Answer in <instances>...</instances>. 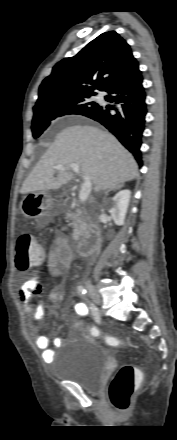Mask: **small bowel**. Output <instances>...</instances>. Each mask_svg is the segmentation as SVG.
<instances>
[{
	"label": "small bowel",
	"mask_w": 177,
	"mask_h": 440,
	"mask_svg": "<svg viewBox=\"0 0 177 440\" xmlns=\"http://www.w3.org/2000/svg\"><path fill=\"white\" fill-rule=\"evenodd\" d=\"M72 260L73 252L68 240L64 236H59L47 255L51 275L55 278L61 276L63 271L70 266ZM38 284V278L32 277L24 281L16 291L17 298L22 304L25 313L31 314L29 324L32 328H35L36 323L45 315V308L42 301L39 300L33 310L29 305L32 292L37 288ZM61 297L62 292L59 288H54L49 293V300L52 303L58 302ZM74 309L78 317H84L88 314V308L83 302L75 303ZM53 343L55 346H62L64 339L62 337H55ZM35 344L37 348L42 351L45 362L54 360V351L50 348L49 338L46 335H38L35 339Z\"/></svg>",
	"instance_id": "obj_1"
}]
</instances>
